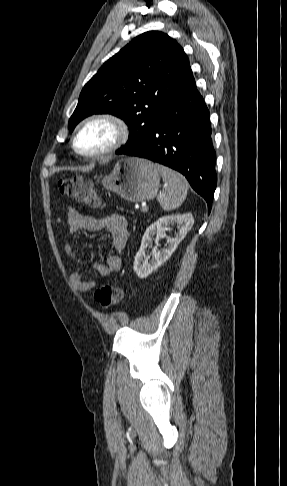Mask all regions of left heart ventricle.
I'll list each match as a JSON object with an SVG mask.
<instances>
[{
	"instance_id": "1",
	"label": "left heart ventricle",
	"mask_w": 287,
	"mask_h": 486,
	"mask_svg": "<svg viewBox=\"0 0 287 486\" xmlns=\"http://www.w3.org/2000/svg\"><path fill=\"white\" fill-rule=\"evenodd\" d=\"M114 139L113 128L106 123H94L85 128L77 139L81 151L94 152L107 147Z\"/></svg>"
}]
</instances>
